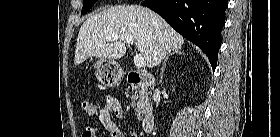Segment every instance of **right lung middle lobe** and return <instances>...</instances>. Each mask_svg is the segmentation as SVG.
Masks as SVG:
<instances>
[{"label": "right lung middle lobe", "mask_w": 280, "mask_h": 137, "mask_svg": "<svg viewBox=\"0 0 280 137\" xmlns=\"http://www.w3.org/2000/svg\"><path fill=\"white\" fill-rule=\"evenodd\" d=\"M97 0H83V8L81 14L86 13L95 3Z\"/></svg>", "instance_id": "obj_1"}]
</instances>
